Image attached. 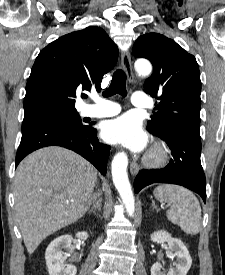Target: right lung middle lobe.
Returning a JSON list of instances; mask_svg holds the SVG:
<instances>
[{"instance_id": "1", "label": "right lung middle lobe", "mask_w": 225, "mask_h": 275, "mask_svg": "<svg viewBox=\"0 0 225 275\" xmlns=\"http://www.w3.org/2000/svg\"><path fill=\"white\" fill-rule=\"evenodd\" d=\"M32 118H50L57 121H60L66 125L75 127V128H84L85 125L82 124L81 118L77 110H57L44 112L37 115H32L24 117V120Z\"/></svg>"}]
</instances>
